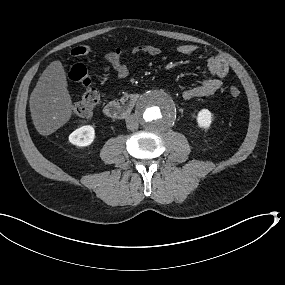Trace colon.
<instances>
[{
	"label": "colon",
	"instance_id": "1",
	"mask_svg": "<svg viewBox=\"0 0 285 285\" xmlns=\"http://www.w3.org/2000/svg\"><path fill=\"white\" fill-rule=\"evenodd\" d=\"M91 51L89 45H78L71 50V56L78 58L87 55ZM69 77L72 81L80 84L84 91L80 99L74 105L75 114L83 119L92 116L95 109L100 103V93L93 86L91 76L85 65L77 63L72 66ZM229 93L232 97H238L240 95V89L236 86H231Z\"/></svg>",
	"mask_w": 285,
	"mask_h": 285
}]
</instances>
